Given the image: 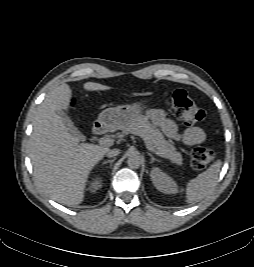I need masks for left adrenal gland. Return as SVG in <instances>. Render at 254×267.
<instances>
[{"label": "left adrenal gland", "instance_id": "1", "mask_svg": "<svg viewBox=\"0 0 254 267\" xmlns=\"http://www.w3.org/2000/svg\"><path fill=\"white\" fill-rule=\"evenodd\" d=\"M148 155H149L150 158H151V162H150V163H153V162H155V161L159 162V160L156 159L151 153H148Z\"/></svg>", "mask_w": 254, "mask_h": 267}]
</instances>
